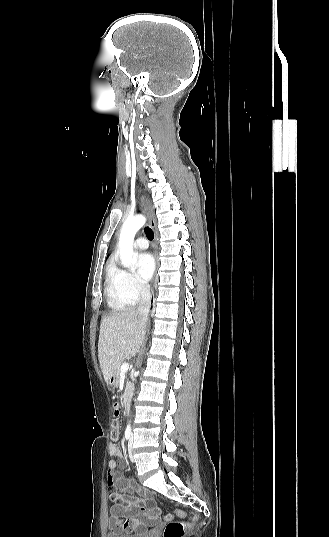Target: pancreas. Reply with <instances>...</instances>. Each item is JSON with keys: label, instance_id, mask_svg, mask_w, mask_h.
<instances>
[{"label": "pancreas", "instance_id": "1", "mask_svg": "<svg viewBox=\"0 0 329 537\" xmlns=\"http://www.w3.org/2000/svg\"><path fill=\"white\" fill-rule=\"evenodd\" d=\"M122 372H121V368H119L116 372V386H119L120 385V382H121V379H122V376H121ZM132 389V385L130 384V382L127 381L126 383V392L124 393V397L127 398L129 393L128 391Z\"/></svg>", "mask_w": 329, "mask_h": 537}]
</instances>
